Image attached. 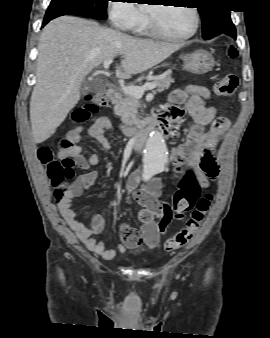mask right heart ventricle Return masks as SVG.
I'll use <instances>...</instances> for the list:
<instances>
[{
    "label": "right heart ventricle",
    "mask_w": 270,
    "mask_h": 338,
    "mask_svg": "<svg viewBox=\"0 0 270 338\" xmlns=\"http://www.w3.org/2000/svg\"><path fill=\"white\" fill-rule=\"evenodd\" d=\"M134 31L138 32V33H144V34H148L149 31H148V27H147V24H143L141 26H137V27H134L133 28Z\"/></svg>",
    "instance_id": "e07e8e85"
}]
</instances>
